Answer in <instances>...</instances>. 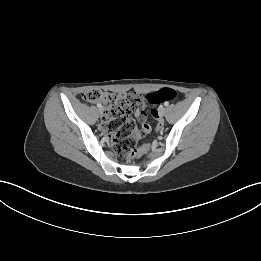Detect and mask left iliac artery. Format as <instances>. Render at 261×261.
Segmentation results:
<instances>
[{
    "mask_svg": "<svg viewBox=\"0 0 261 261\" xmlns=\"http://www.w3.org/2000/svg\"><path fill=\"white\" fill-rule=\"evenodd\" d=\"M164 105H165V106H168V105H169V102H168V101H165V102H164Z\"/></svg>",
    "mask_w": 261,
    "mask_h": 261,
    "instance_id": "obj_1",
    "label": "left iliac artery"
}]
</instances>
